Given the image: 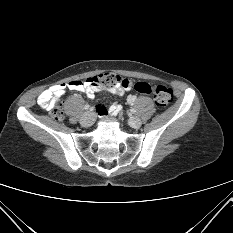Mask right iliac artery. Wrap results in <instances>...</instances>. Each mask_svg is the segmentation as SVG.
I'll use <instances>...</instances> for the list:
<instances>
[{
  "label": "right iliac artery",
  "instance_id": "obj_1",
  "mask_svg": "<svg viewBox=\"0 0 233 233\" xmlns=\"http://www.w3.org/2000/svg\"><path fill=\"white\" fill-rule=\"evenodd\" d=\"M84 109H85V110H88V109H90V106H89L88 104H86L85 107H84ZM91 110H92V109H91Z\"/></svg>",
  "mask_w": 233,
  "mask_h": 233
}]
</instances>
